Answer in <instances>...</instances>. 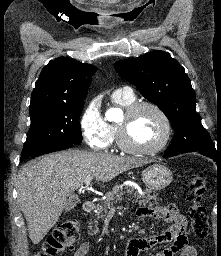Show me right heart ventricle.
Masks as SVG:
<instances>
[{"mask_svg": "<svg viewBox=\"0 0 221 256\" xmlns=\"http://www.w3.org/2000/svg\"><path fill=\"white\" fill-rule=\"evenodd\" d=\"M113 101L117 105L126 108V107H128L129 105H131L135 102V97H134V95H132V96L113 95ZM110 127L113 131L114 138H115V136H116V127L115 126H110Z\"/></svg>", "mask_w": 221, "mask_h": 256, "instance_id": "1", "label": "right heart ventricle"}]
</instances>
